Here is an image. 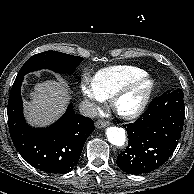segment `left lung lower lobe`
<instances>
[{"label": "left lung lower lobe", "instance_id": "1", "mask_svg": "<svg viewBox=\"0 0 194 194\" xmlns=\"http://www.w3.org/2000/svg\"><path fill=\"white\" fill-rule=\"evenodd\" d=\"M183 91H167L154 98L134 123L124 125L128 147L117 165L129 174H142L162 166L173 154L184 125Z\"/></svg>", "mask_w": 194, "mask_h": 194}]
</instances>
